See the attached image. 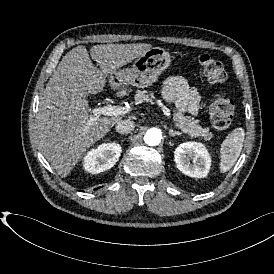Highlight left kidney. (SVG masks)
Masks as SVG:
<instances>
[{"label":"left kidney","instance_id":"obj_1","mask_svg":"<svg viewBox=\"0 0 274 274\" xmlns=\"http://www.w3.org/2000/svg\"><path fill=\"white\" fill-rule=\"evenodd\" d=\"M174 161L183 174L194 178L206 177L211 166L210 154L200 142L180 144L174 151Z\"/></svg>","mask_w":274,"mask_h":274}]
</instances>
